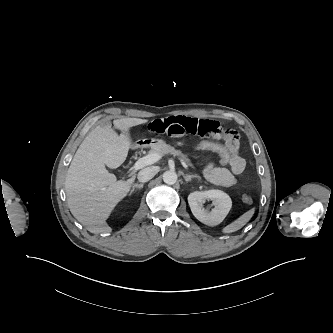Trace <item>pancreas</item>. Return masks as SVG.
Masks as SVG:
<instances>
[{
    "label": "pancreas",
    "mask_w": 333,
    "mask_h": 333,
    "mask_svg": "<svg viewBox=\"0 0 333 333\" xmlns=\"http://www.w3.org/2000/svg\"><path fill=\"white\" fill-rule=\"evenodd\" d=\"M150 153H159L161 155L171 154L173 156H178L180 159L190 164V159L186 154L182 153L180 150H176L174 147L164 142H158L155 145H153L151 147Z\"/></svg>",
    "instance_id": "1"
}]
</instances>
